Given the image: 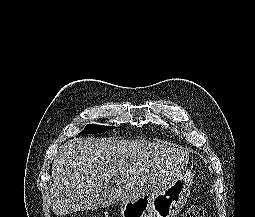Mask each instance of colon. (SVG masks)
Wrapping results in <instances>:
<instances>
[{"instance_id":"obj_1","label":"colon","mask_w":255,"mask_h":217,"mask_svg":"<svg viewBox=\"0 0 255 217\" xmlns=\"http://www.w3.org/2000/svg\"><path fill=\"white\" fill-rule=\"evenodd\" d=\"M184 217H204V210L200 204L194 203L187 209Z\"/></svg>"}]
</instances>
